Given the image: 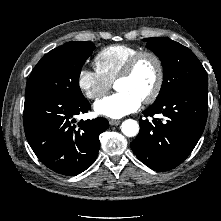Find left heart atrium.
Segmentation results:
<instances>
[{
	"instance_id": "obj_1",
	"label": "left heart atrium",
	"mask_w": 221,
	"mask_h": 221,
	"mask_svg": "<svg viewBox=\"0 0 221 221\" xmlns=\"http://www.w3.org/2000/svg\"><path fill=\"white\" fill-rule=\"evenodd\" d=\"M141 104L142 99L134 93L119 91L97 101L94 110L98 115L117 119L137 111Z\"/></svg>"
}]
</instances>
